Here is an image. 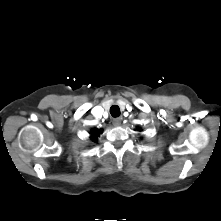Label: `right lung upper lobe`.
Wrapping results in <instances>:
<instances>
[{
  "mask_svg": "<svg viewBox=\"0 0 221 221\" xmlns=\"http://www.w3.org/2000/svg\"><path fill=\"white\" fill-rule=\"evenodd\" d=\"M102 133V130L101 129H94L92 130V136H91V139L93 141H95L97 139V137Z\"/></svg>",
  "mask_w": 221,
  "mask_h": 221,
  "instance_id": "obj_1",
  "label": "right lung upper lobe"
}]
</instances>
